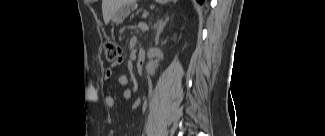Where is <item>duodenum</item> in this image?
I'll return each instance as SVG.
<instances>
[{
  "mask_svg": "<svg viewBox=\"0 0 325 136\" xmlns=\"http://www.w3.org/2000/svg\"><path fill=\"white\" fill-rule=\"evenodd\" d=\"M147 59V51L145 49H140L138 52L136 70L138 72H143L145 70V63Z\"/></svg>",
  "mask_w": 325,
  "mask_h": 136,
  "instance_id": "410a0bca",
  "label": "duodenum"
}]
</instances>
